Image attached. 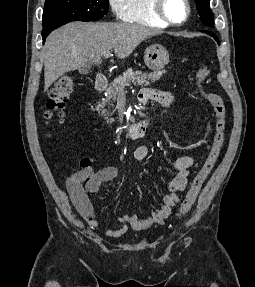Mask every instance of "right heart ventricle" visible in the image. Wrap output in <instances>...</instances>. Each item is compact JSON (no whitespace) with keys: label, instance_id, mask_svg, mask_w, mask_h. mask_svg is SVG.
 <instances>
[{"label":"right heart ventricle","instance_id":"right-heart-ventricle-1","mask_svg":"<svg viewBox=\"0 0 255 287\" xmlns=\"http://www.w3.org/2000/svg\"><path fill=\"white\" fill-rule=\"evenodd\" d=\"M139 33H150V32H139ZM110 39H113V38H110ZM158 48H161V47H158Z\"/></svg>","mask_w":255,"mask_h":287}]
</instances>
